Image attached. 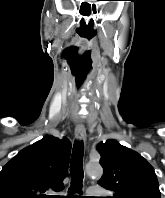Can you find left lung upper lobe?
Listing matches in <instances>:
<instances>
[{
    "instance_id": "1",
    "label": "left lung upper lobe",
    "mask_w": 165,
    "mask_h": 198,
    "mask_svg": "<svg viewBox=\"0 0 165 198\" xmlns=\"http://www.w3.org/2000/svg\"><path fill=\"white\" fill-rule=\"evenodd\" d=\"M104 174L99 185L111 198H161L153 167L139 153L110 139L97 146Z\"/></svg>"
}]
</instances>
